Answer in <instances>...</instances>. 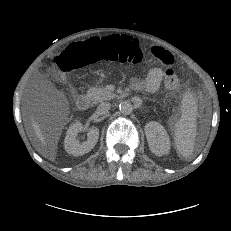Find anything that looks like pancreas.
I'll use <instances>...</instances> for the list:
<instances>
[{
	"label": "pancreas",
	"instance_id": "1",
	"mask_svg": "<svg viewBox=\"0 0 231 231\" xmlns=\"http://www.w3.org/2000/svg\"><path fill=\"white\" fill-rule=\"evenodd\" d=\"M87 95L93 103H98L106 100H110L115 97V94L107 90L105 87L90 88L87 91Z\"/></svg>",
	"mask_w": 231,
	"mask_h": 231
}]
</instances>
